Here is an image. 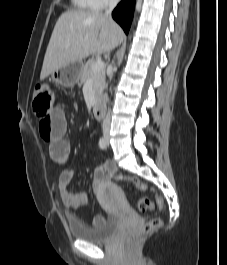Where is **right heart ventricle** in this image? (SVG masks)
Returning a JSON list of instances; mask_svg holds the SVG:
<instances>
[{
  "label": "right heart ventricle",
  "mask_w": 227,
  "mask_h": 265,
  "mask_svg": "<svg viewBox=\"0 0 227 265\" xmlns=\"http://www.w3.org/2000/svg\"><path fill=\"white\" fill-rule=\"evenodd\" d=\"M73 6L78 10H94L96 5L94 0H71Z\"/></svg>",
  "instance_id": "obj_1"
}]
</instances>
